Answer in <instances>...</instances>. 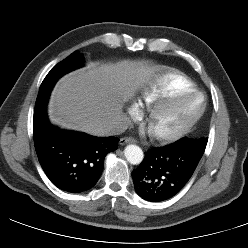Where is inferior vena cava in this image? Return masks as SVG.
Returning <instances> with one entry per match:
<instances>
[{
	"label": "inferior vena cava",
	"instance_id": "inferior-vena-cava-1",
	"mask_svg": "<svg viewBox=\"0 0 248 248\" xmlns=\"http://www.w3.org/2000/svg\"><path fill=\"white\" fill-rule=\"evenodd\" d=\"M131 125V121L125 114H121L118 116L116 121L106 130L105 136L110 135H119L123 133L129 126Z\"/></svg>",
	"mask_w": 248,
	"mask_h": 248
}]
</instances>
